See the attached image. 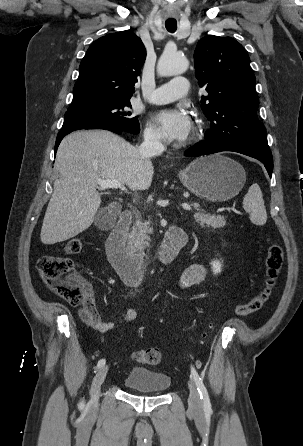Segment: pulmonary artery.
<instances>
[{"mask_svg":"<svg viewBox=\"0 0 303 446\" xmlns=\"http://www.w3.org/2000/svg\"><path fill=\"white\" fill-rule=\"evenodd\" d=\"M188 92V81L178 76L156 88L149 97L153 104H166L184 97Z\"/></svg>","mask_w":303,"mask_h":446,"instance_id":"obj_1","label":"pulmonary artery"}]
</instances>
